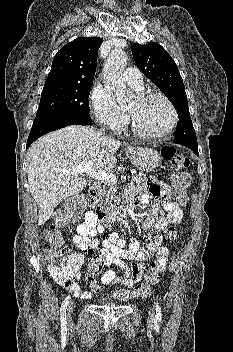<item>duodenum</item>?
Listing matches in <instances>:
<instances>
[{
	"mask_svg": "<svg viewBox=\"0 0 233 352\" xmlns=\"http://www.w3.org/2000/svg\"><path fill=\"white\" fill-rule=\"evenodd\" d=\"M99 191L98 185H92L87 192L86 200L88 201L90 207L92 208V212L94 213L95 219L97 223L101 227H107L108 225L122 220L127 215V207H117L113 209H104L99 206L96 202V196Z\"/></svg>",
	"mask_w": 233,
	"mask_h": 352,
	"instance_id": "obj_1",
	"label": "duodenum"
}]
</instances>
